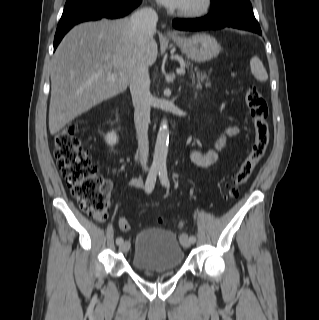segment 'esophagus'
Wrapping results in <instances>:
<instances>
[{
	"instance_id": "34e87169",
	"label": "esophagus",
	"mask_w": 319,
	"mask_h": 320,
	"mask_svg": "<svg viewBox=\"0 0 319 320\" xmlns=\"http://www.w3.org/2000/svg\"><path fill=\"white\" fill-rule=\"evenodd\" d=\"M167 36L168 37H174L175 33L173 31H171L170 29L167 30Z\"/></svg>"
}]
</instances>
